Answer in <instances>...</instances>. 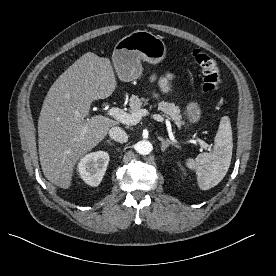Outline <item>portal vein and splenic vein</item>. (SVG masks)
<instances>
[{
	"label": "portal vein and splenic vein",
	"instance_id": "1",
	"mask_svg": "<svg viewBox=\"0 0 276 276\" xmlns=\"http://www.w3.org/2000/svg\"><path fill=\"white\" fill-rule=\"evenodd\" d=\"M149 111L146 109H140L137 112H133L131 114L123 111L118 107H112L108 110V115L116 119L117 121L127 124V125H136L139 123L142 117L149 115ZM151 118L158 122H163L164 118L159 114H152ZM199 142L200 146L204 149H210L211 146L208 145L205 141L201 140L200 138H196Z\"/></svg>",
	"mask_w": 276,
	"mask_h": 276
}]
</instances>
